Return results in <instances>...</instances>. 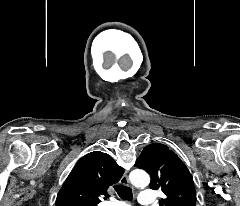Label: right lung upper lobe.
I'll return each instance as SVG.
<instances>
[{"mask_svg": "<svg viewBox=\"0 0 240 206\" xmlns=\"http://www.w3.org/2000/svg\"><path fill=\"white\" fill-rule=\"evenodd\" d=\"M124 169L106 153L94 151L83 156L70 172L55 206H97L109 196L107 189L117 183Z\"/></svg>", "mask_w": 240, "mask_h": 206, "instance_id": "1", "label": "right lung upper lobe"}]
</instances>
